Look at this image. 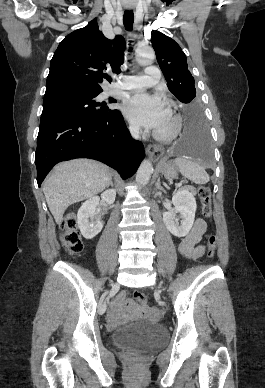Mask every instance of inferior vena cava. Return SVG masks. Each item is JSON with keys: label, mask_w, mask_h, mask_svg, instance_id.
<instances>
[{"label": "inferior vena cava", "mask_w": 265, "mask_h": 388, "mask_svg": "<svg viewBox=\"0 0 265 388\" xmlns=\"http://www.w3.org/2000/svg\"><path fill=\"white\" fill-rule=\"evenodd\" d=\"M129 130H130V134H131L132 138H136V140H138L139 128H137V126H130Z\"/></svg>", "instance_id": "602c4592"}]
</instances>
